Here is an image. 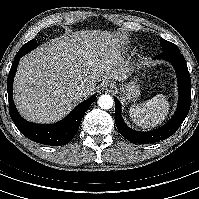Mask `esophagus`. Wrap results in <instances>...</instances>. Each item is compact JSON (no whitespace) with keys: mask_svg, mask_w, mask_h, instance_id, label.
Returning <instances> with one entry per match:
<instances>
[{"mask_svg":"<svg viewBox=\"0 0 199 199\" xmlns=\"http://www.w3.org/2000/svg\"><path fill=\"white\" fill-rule=\"evenodd\" d=\"M116 88L115 84L111 81L106 82L102 89L107 91H113Z\"/></svg>","mask_w":199,"mask_h":199,"instance_id":"esophagus-1","label":"esophagus"}]
</instances>
